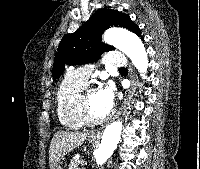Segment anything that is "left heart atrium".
I'll return each mask as SVG.
<instances>
[{"instance_id":"obj_1","label":"left heart atrium","mask_w":200,"mask_h":169,"mask_svg":"<svg viewBox=\"0 0 200 169\" xmlns=\"http://www.w3.org/2000/svg\"><path fill=\"white\" fill-rule=\"evenodd\" d=\"M98 93L102 103L109 112L112 109L115 100V91L113 85L112 84L105 85L98 91Z\"/></svg>"}]
</instances>
